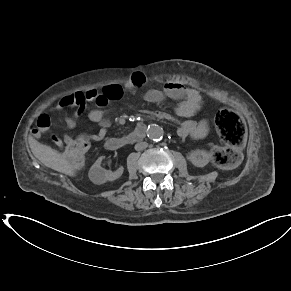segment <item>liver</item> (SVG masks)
<instances>
[{
	"mask_svg": "<svg viewBox=\"0 0 291 291\" xmlns=\"http://www.w3.org/2000/svg\"><path fill=\"white\" fill-rule=\"evenodd\" d=\"M29 144L34 156L45 166L72 177L76 175L73 164L65 154L43 145L34 139H30Z\"/></svg>",
	"mask_w": 291,
	"mask_h": 291,
	"instance_id": "6515ba94",
	"label": "liver"
}]
</instances>
